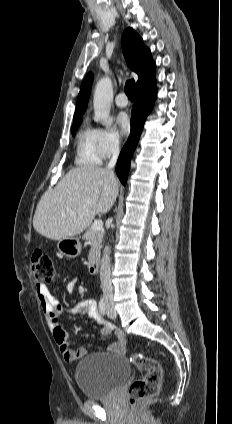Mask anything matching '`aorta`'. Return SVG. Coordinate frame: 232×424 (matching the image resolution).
Here are the masks:
<instances>
[{"label": "aorta", "mask_w": 232, "mask_h": 424, "mask_svg": "<svg viewBox=\"0 0 232 424\" xmlns=\"http://www.w3.org/2000/svg\"><path fill=\"white\" fill-rule=\"evenodd\" d=\"M112 100V82L109 77L105 76L96 84L93 99L94 118L105 126L111 125L110 110Z\"/></svg>", "instance_id": "762f6f07"}]
</instances>
